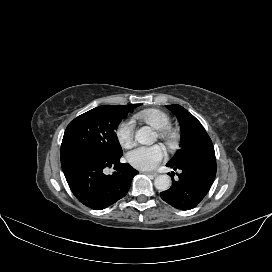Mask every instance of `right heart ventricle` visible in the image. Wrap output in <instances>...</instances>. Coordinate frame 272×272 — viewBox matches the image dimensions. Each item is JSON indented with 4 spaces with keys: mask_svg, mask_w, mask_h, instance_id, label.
Here are the masks:
<instances>
[{
    "mask_svg": "<svg viewBox=\"0 0 272 272\" xmlns=\"http://www.w3.org/2000/svg\"><path fill=\"white\" fill-rule=\"evenodd\" d=\"M135 118L149 124L156 130L163 129L171 125L170 116L166 112L156 108L144 109L136 113Z\"/></svg>",
    "mask_w": 272,
    "mask_h": 272,
    "instance_id": "e07e8e85",
    "label": "right heart ventricle"
}]
</instances>
